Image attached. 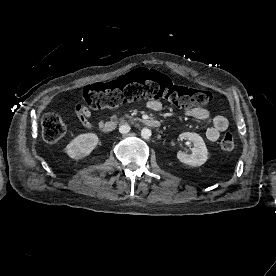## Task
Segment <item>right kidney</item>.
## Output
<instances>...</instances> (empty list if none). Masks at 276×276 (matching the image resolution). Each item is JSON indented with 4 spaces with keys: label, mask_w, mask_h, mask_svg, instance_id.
I'll return each instance as SVG.
<instances>
[{
    "label": "right kidney",
    "mask_w": 276,
    "mask_h": 276,
    "mask_svg": "<svg viewBox=\"0 0 276 276\" xmlns=\"http://www.w3.org/2000/svg\"><path fill=\"white\" fill-rule=\"evenodd\" d=\"M98 141V136L94 133L80 134L69 142L65 151L70 158L82 159L93 151Z\"/></svg>",
    "instance_id": "right-kidney-1"
}]
</instances>
